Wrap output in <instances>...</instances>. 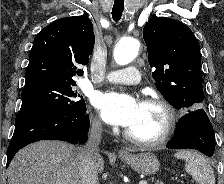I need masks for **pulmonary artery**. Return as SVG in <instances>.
Returning <instances> with one entry per match:
<instances>
[{"label":"pulmonary artery","instance_id":"obj_1","mask_svg":"<svg viewBox=\"0 0 224 184\" xmlns=\"http://www.w3.org/2000/svg\"><path fill=\"white\" fill-rule=\"evenodd\" d=\"M106 80L112 83L134 85L140 81V74L136 67L131 66L109 72L106 75Z\"/></svg>","mask_w":224,"mask_h":184}]
</instances>
